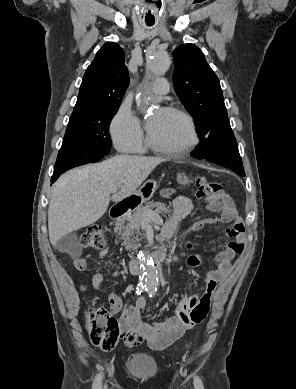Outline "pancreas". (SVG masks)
<instances>
[{
  "mask_svg": "<svg viewBox=\"0 0 296 389\" xmlns=\"http://www.w3.org/2000/svg\"><path fill=\"white\" fill-rule=\"evenodd\" d=\"M150 211L156 215L170 213L169 207L161 202H149L145 206L138 207L134 213H128L116 222L115 231L117 235L123 240V245L126 250H131L133 239L136 234H140V227L143 219V213Z\"/></svg>",
  "mask_w": 296,
  "mask_h": 389,
  "instance_id": "pancreas-1",
  "label": "pancreas"
}]
</instances>
